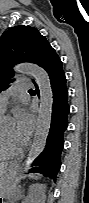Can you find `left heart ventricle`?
I'll list each match as a JSON object with an SVG mask.
<instances>
[{"label":"left heart ventricle","instance_id":"left-heart-ventricle-1","mask_svg":"<svg viewBox=\"0 0 89 203\" xmlns=\"http://www.w3.org/2000/svg\"><path fill=\"white\" fill-rule=\"evenodd\" d=\"M3 135L9 147L13 150L20 149L25 145V142L16 134L13 122L4 127Z\"/></svg>","mask_w":89,"mask_h":203}]
</instances>
